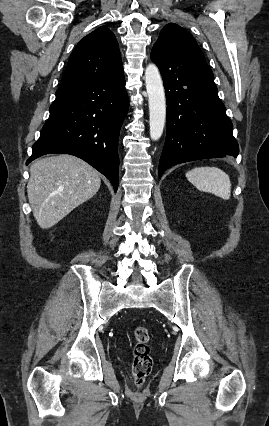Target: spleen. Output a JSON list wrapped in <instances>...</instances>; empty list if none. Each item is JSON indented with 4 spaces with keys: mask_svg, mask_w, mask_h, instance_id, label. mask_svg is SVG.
<instances>
[{
    "mask_svg": "<svg viewBox=\"0 0 269 426\" xmlns=\"http://www.w3.org/2000/svg\"><path fill=\"white\" fill-rule=\"evenodd\" d=\"M187 179L199 190L212 193L224 200L231 196L228 174L216 167H198L186 173Z\"/></svg>",
    "mask_w": 269,
    "mask_h": 426,
    "instance_id": "spleen-1",
    "label": "spleen"
}]
</instances>
